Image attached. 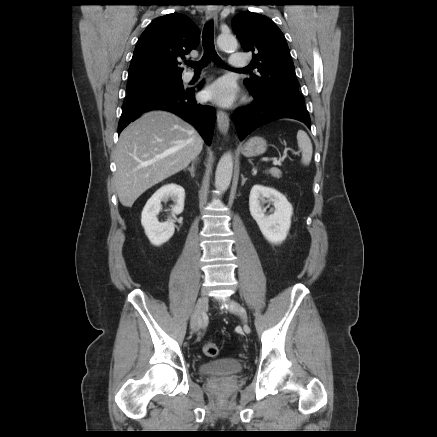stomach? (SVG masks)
I'll list each match as a JSON object with an SVG mask.
<instances>
[{
  "label": "stomach",
  "instance_id": "1",
  "mask_svg": "<svg viewBox=\"0 0 437 437\" xmlns=\"http://www.w3.org/2000/svg\"><path fill=\"white\" fill-rule=\"evenodd\" d=\"M267 150V142L262 137H252L250 138L242 147V154L245 157H255L262 155Z\"/></svg>",
  "mask_w": 437,
  "mask_h": 437
}]
</instances>
